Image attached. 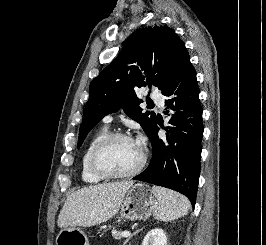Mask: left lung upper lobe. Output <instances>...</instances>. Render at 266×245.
I'll return each mask as SVG.
<instances>
[{
	"label": "left lung upper lobe",
	"mask_w": 266,
	"mask_h": 245,
	"mask_svg": "<svg viewBox=\"0 0 266 245\" xmlns=\"http://www.w3.org/2000/svg\"><path fill=\"white\" fill-rule=\"evenodd\" d=\"M188 57L184 42L172 28L154 26L136 30L117 58L92 80L77 147L105 115L121 107L149 135L156 115L142 112L139 104L143 101L136 90L152 84L162 92Z\"/></svg>",
	"instance_id": "left-lung-upper-lobe-1"
}]
</instances>
